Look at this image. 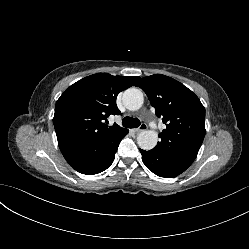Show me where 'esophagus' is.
I'll return each instance as SVG.
<instances>
[{
  "label": "esophagus",
  "instance_id": "1",
  "mask_svg": "<svg viewBox=\"0 0 249 249\" xmlns=\"http://www.w3.org/2000/svg\"><path fill=\"white\" fill-rule=\"evenodd\" d=\"M147 129V125L145 123L141 124L139 128L134 129L135 133L143 132Z\"/></svg>",
  "mask_w": 249,
  "mask_h": 249
}]
</instances>
